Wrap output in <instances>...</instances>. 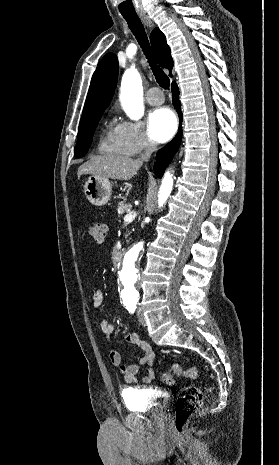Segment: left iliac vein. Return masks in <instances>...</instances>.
<instances>
[{
    "label": "left iliac vein",
    "mask_w": 279,
    "mask_h": 465,
    "mask_svg": "<svg viewBox=\"0 0 279 465\" xmlns=\"http://www.w3.org/2000/svg\"><path fill=\"white\" fill-rule=\"evenodd\" d=\"M137 315H138V321H139V323H140L142 326H146V325H147V320H146V318L144 317V315H143L140 311H138Z\"/></svg>",
    "instance_id": "1"
}]
</instances>
